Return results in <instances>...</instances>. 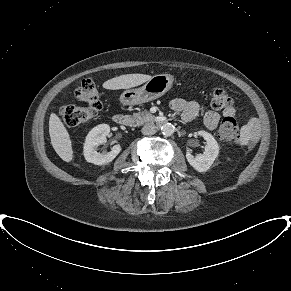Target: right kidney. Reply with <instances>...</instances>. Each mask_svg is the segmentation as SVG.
<instances>
[{"label":"right kidney","instance_id":"right-kidney-1","mask_svg":"<svg viewBox=\"0 0 291 291\" xmlns=\"http://www.w3.org/2000/svg\"><path fill=\"white\" fill-rule=\"evenodd\" d=\"M110 132V126L100 124L94 127L87 135L84 144V157L87 162L95 165H104L112 160L120 153L121 146L114 145L108 153H98L96 147L106 142V136Z\"/></svg>","mask_w":291,"mask_h":291}]
</instances>
